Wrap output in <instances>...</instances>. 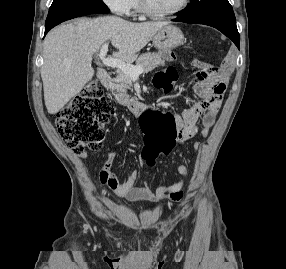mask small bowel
I'll return each mask as SVG.
<instances>
[{"label":"small bowel","mask_w":286,"mask_h":269,"mask_svg":"<svg viewBox=\"0 0 286 269\" xmlns=\"http://www.w3.org/2000/svg\"><path fill=\"white\" fill-rule=\"evenodd\" d=\"M223 83L222 95H209V93H203L195 88V92L200 95L201 100L195 103L191 108L185 110L180 116L173 115L174 121H177L176 129L181 134L179 142L192 138L198 131V122L201 120L202 126L199 129V135L206 138L211 128L214 126L216 118L219 114L222 106L226 82L229 76V69L221 70ZM197 80V79H196ZM157 86V85H156ZM159 87V86H157ZM166 92L169 90L164 89ZM116 93H123V88H116ZM121 99H129V94H121ZM198 148L200 144L195 143ZM145 150V149H143ZM86 153H82L81 157L86 158ZM116 156V152L112 153L105 161L99 171L100 184L119 197H123L129 200H144L150 202H159L165 199H171L173 201H179V193L185 188V179L188 175V168L181 164L178 165L176 170L181 176V179L174 184L168 186H160L156 190L150 189L148 186H135L138 179V171L131 170L125 181H120L113 170V162ZM139 164H145L146 158L144 155L138 156Z\"/></svg>","instance_id":"c3829d8e"}]
</instances>
